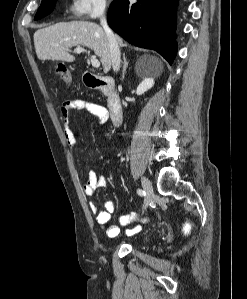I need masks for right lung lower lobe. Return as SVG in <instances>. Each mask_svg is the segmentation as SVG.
Here are the masks:
<instances>
[{"instance_id": "obj_1", "label": "right lung lower lobe", "mask_w": 247, "mask_h": 299, "mask_svg": "<svg viewBox=\"0 0 247 299\" xmlns=\"http://www.w3.org/2000/svg\"><path fill=\"white\" fill-rule=\"evenodd\" d=\"M178 0H114L108 11L109 26L129 43L161 54L172 64L177 51Z\"/></svg>"}]
</instances>
